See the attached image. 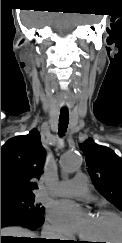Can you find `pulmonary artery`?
<instances>
[{"label": "pulmonary artery", "instance_id": "obj_1", "mask_svg": "<svg viewBox=\"0 0 122 243\" xmlns=\"http://www.w3.org/2000/svg\"><path fill=\"white\" fill-rule=\"evenodd\" d=\"M48 192L58 196H84L89 192V186L86 176L77 173L71 180L60 181L55 188L49 189Z\"/></svg>", "mask_w": 122, "mask_h": 243}]
</instances>
